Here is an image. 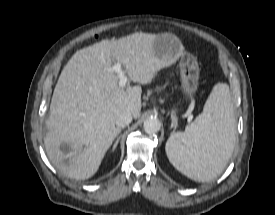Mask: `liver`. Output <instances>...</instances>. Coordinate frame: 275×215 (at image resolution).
<instances>
[{
  "mask_svg": "<svg viewBox=\"0 0 275 215\" xmlns=\"http://www.w3.org/2000/svg\"><path fill=\"white\" fill-rule=\"evenodd\" d=\"M157 36L137 32L115 41L103 40L77 51L62 70L46 120L44 144L51 163L66 176L92 177L121 131L115 126L116 118L124 111L134 118L140 114L141 87L121 88L118 76L110 71L112 63H120L133 82L145 85L180 57L156 55ZM62 144L69 150L63 151Z\"/></svg>",
  "mask_w": 275,
  "mask_h": 215,
  "instance_id": "1",
  "label": "liver"
}]
</instances>
